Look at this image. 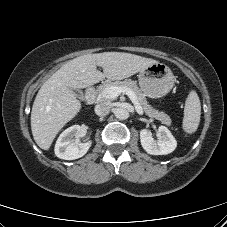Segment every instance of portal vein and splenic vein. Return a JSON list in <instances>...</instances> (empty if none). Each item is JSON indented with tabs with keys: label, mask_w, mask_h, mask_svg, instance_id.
I'll list each match as a JSON object with an SVG mask.
<instances>
[{
	"label": "portal vein and splenic vein",
	"mask_w": 227,
	"mask_h": 227,
	"mask_svg": "<svg viewBox=\"0 0 227 227\" xmlns=\"http://www.w3.org/2000/svg\"><path fill=\"white\" fill-rule=\"evenodd\" d=\"M121 93L126 94L132 103L135 106V110L139 115L143 114V109L140 106L139 102L137 101L135 93L128 87H116V86H110L107 87L103 93L102 97L105 99H115L117 98Z\"/></svg>",
	"instance_id": "obj_1"
}]
</instances>
